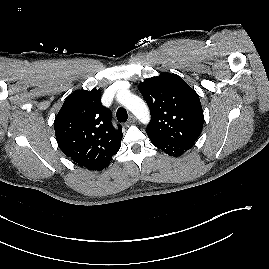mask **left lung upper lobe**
Returning a JSON list of instances; mask_svg holds the SVG:
<instances>
[{
	"label": "left lung upper lobe",
	"instance_id": "obj_1",
	"mask_svg": "<svg viewBox=\"0 0 269 269\" xmlns=\"http://www.w3.org/2000/svg\"><path fill=\"white\" fill-rule=\"evenodd\" d=\"M151 122L146 132L151 140L195 143L201 134L204 115L198 94L178 75L162 73L139 84Z\"/></svg>",
	"mask_w": 269,
	"mask_h": 269
}]
</instances>
